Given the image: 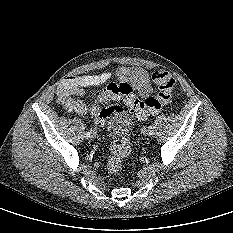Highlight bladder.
<instances>
[{
    "mask_svg": "<svg viewBox=\"0 0 233 233\" xmlns=\"http://www.w3.org/2000/svg\"><path fill=\"white\" fill-rule=\"evenodd\" d=\"M106 126L111 137H123L131 131L133 119L124 111L113 110L107 119Z\"/></svg>",
    "mask_w": 233,
    "mask_h": 233,
    "instance_id": "31cf9c89",
    "label": "bladder"
}]
</instances>
